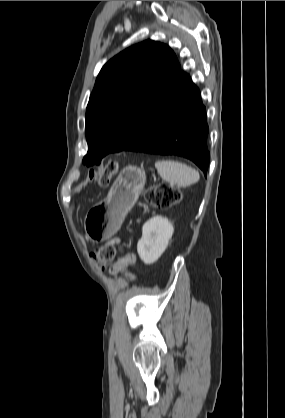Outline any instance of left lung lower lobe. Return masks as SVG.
I'll use <instances>...</instances> for the list:
<instances>
[{"label":"left lung lower lobe","mask_w":285,"mask_h":418,"mask_svg":"<svg viewBox=\"0 0 285 418\" xmlns=\"http://www.w3.org/2000/svg\"><path fill=\"white\" fill-rule=\"evenodd\" d=\"M207 135L206 108L200 91L189 74L180 70L123 150L179 155L206 172L210 159Z\"/></svg>","instance_id":"left-lung-lower-lobe-1"}]
</instances>
